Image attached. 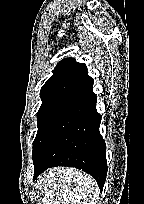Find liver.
Here are the masks:
<instances>
[{"instance_id": "liver-1", "label": "liver", "mask_w": 144, "mask_h": 204, "mask_svg": "<svg viewBox=\"0 0 144 204\" xmlns=\"http://www.w3.org/2000/svg\"><path fill=\"white\" fill-rule=\"evenodd\" d=\"M43 189V204H97L99 188L88 174L70 167L44 172L36 182Z\"/></svg>"}]
</instances>
